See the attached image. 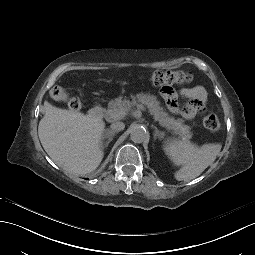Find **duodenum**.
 I'll return each mask as SVG.
<instances>
[{"label": "duodenum", "mask_w": 255, "mask_h": 255, "mask_svg": "<svg viewBox=\"0 0 255 255\" xmlns=\"http://www.w3.org/2000/svg\"><path fill=\"white\" fill-rule=\"evenodd\" d=\"M88 115L91 119L98 120L103 115V109L101 106H94L89 110Z\"/></svg>", "instance_id": "1"}]
</instances>
